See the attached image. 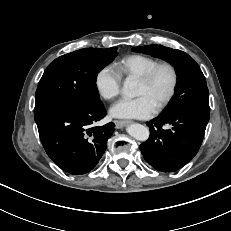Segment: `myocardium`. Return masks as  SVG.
Returning a JSON list of instances; mask_svg holds the SVG:
<instances>
[{"label":"myocardium","instance_id":"f54148a6","mask_svg":"<svg viewBox=\"0 0 231 231\" xmlns=\"http://www.w3.org/2000/svg\"><path fill=\"white\" fill-rule=\"evenodd\" d=\"M164 69L169 72L171 77V82L167 93L156 106L157 112L163 110L171 102L177 91L179 85V72L177 67L172 62L169 61L158 62L150 70H148L146 73L138 77V80L140 82L144 84H150L154 81L157 74Z\"/></svg>","mask_w":231,"mask_h":231}]
</instances>
